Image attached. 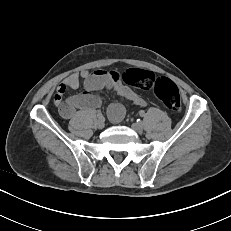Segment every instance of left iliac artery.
<instances>
[{
    "label": "left iliac artery",
    "mask_w": 231,
    "mask_h": 231,
    "mask_svg": "<svg viewBox=\"0 0 231 231\" xmlns=\"http://www.w3.org/2000/svg\"><path fill=\"white\" fill-rule=\"evenodd\" d=\"M139 114H140L141 117L145 116V112L144 111H140Z\"/></svg>",
    "instance_id": "1"
}]
</instances>
